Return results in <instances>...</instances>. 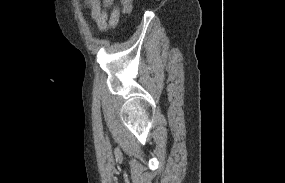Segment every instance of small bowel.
<instances>
[{"label": "small bowel", "instance_id": "small-bowel-1", "mask_svg": "<svg viewBox=\"0 0 285 183\" xmlns=\"http://www.w3.org/2000/svg\"><path fill=\"white\" fill-rule=\"evenodd\" d=\"M90 9L91 18L99 29L103 31L114 28L120 18V9L114 7V0H84ZM111 12L108 13V10Z\"/></svg>", "mask_w": 285, "mask_h": 183}]
</instances>
